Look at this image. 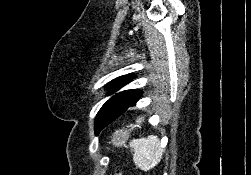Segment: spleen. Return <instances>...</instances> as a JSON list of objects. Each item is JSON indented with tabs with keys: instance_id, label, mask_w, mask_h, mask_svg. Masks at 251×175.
<instances>
[{
	"instance_id": "spleen-1",
	"label": "spleen",
	"mask_w": 251,
	"mask_h": 175,
	"mask_svg": "<svg viewBox=\"0 0 251 175\" xmlns=\"http://www.w3.org/2000/svg\"><path fill=\"white\" fill-rule=\"evenodd\" d=\"M129 147H132L134 151L133 159L135 165L143 169V171H148V169H152L154 165H157L164 151L157 135L131 139V141H129Z\"/></svg>"
}]
</instances>
